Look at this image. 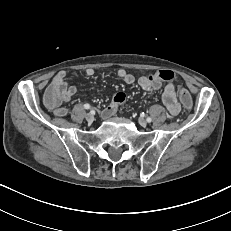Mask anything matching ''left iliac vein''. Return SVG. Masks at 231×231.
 Wrapping results in <instances>:
<instances>
[{
    "label": "left iliac vein",
    "instance_id": "left-iliac-vein-1",
    "mask_svg": "<svg viewBox=\"0 0 231 231\" xmlns=\"http://www.w3.org/2000/svg\"><path fill=\"white\" fill-rule=\"evenodd\" d=\"M139 124H140L141 126H143V127H146L147 121H146L144 118H140V119H139Z\"/></svg>",
    "mask_w": 231,
    "mask_h": 231
}]
</instances>
